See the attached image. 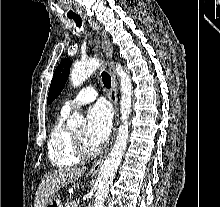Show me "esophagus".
I'll use <instances>...</instances> for the list:
<instances>
[{
  "label": "esophagus",
  "instance_id": "obj_1",
  "mask_svg": "<svg viewBox=\"0 0 220 207\" xmlns=\"http://www.w3.org/2000/svg\"><path fill=\"white\" fill-rule=\"evenodd\" d=\"M88 22H89L90 26L92 27V29L94 30V32H96V34L99 35L101 47L103 49V52L106 55V58L112 59L113 46H112L110 40L108 39L107 35L100 31L99 26L92 19H88ZM110 74H111V79H112L110 100L113 103L114 109H115V123H114V128H113V135H112L111 142H110V145H111L115 136H116V133H117V127H118V122H119V104H118V96H117V88H118L117 78H116L115 72L111 68H110ZM108 151H109V148L106 150V153L103 156H101L92 165V167L90 168V171H89L91 174H95L99 171L101 165L104 162V159H105Z\"/></svg>",
  "mask_w": 220,
  "mask_h": 207
}]
</instances>
